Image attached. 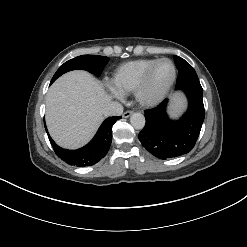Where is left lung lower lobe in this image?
<instances>
[{
    "instance_id": "0a47b994",
    "label": "left lung lower lobe",
    "mask_w": 247,
    "mask_h": 247,
    "mask_svg": "<svg viewBox=\"0 0 247 247\" xmlns=\"http://www.w3.org/2000/svg\"><path fill=\"white\" fill-rule=\"evenodd\" d=\"M176 89L185 92L189 106L177 121L166 113L168 100L156 108L145 111L146 124L139 133V140L151 154L167 159L186 154L192 150L204 121L203 90L200 82L184 83Z\"/></svg>"
}]
</instances>
